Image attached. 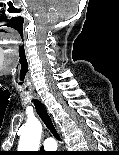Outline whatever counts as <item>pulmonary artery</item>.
Instances as JSON below:
<instances>
[{"label": "pulmonary artery", "mask_w": 119, "mask_h": 155, "mask_svg": "<svg viewBox=\"0 0 119 155\" xmlns=\"http://www.w3.org/2000/svg\"><path fill=\"white\" fill-rule=\"evenodd\" d=\"M43 147L45 150L51 151L57 148V144L53 138H47L43 141Z\"/></svg>", "instance_id": "obj_1"}]
</instances>
